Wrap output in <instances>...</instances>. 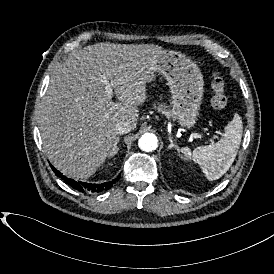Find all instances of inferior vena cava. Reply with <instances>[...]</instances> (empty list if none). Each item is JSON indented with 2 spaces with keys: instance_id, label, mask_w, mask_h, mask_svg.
<instances>
[{
  "instance_id": "1",
  "label": "inferior vena cava",
  "mask_w": 274,
  "mask_h": 274,
  "mask_svg": "<svg viewBox=\"0 0 274 274\" xmlns=\"http://www.w3.org/2000/svg\"><path fill=\"white\" fill-rule=\"evenodd\" d=\"M134 128V125L130 121L119 122L115 126V134H125L132 131Z\"/></svg>"
}]
</instances>
